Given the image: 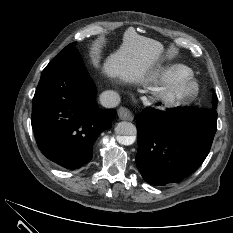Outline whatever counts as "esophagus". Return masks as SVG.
<instances>
[{
  "mask_svg": "<svg viewBox=\"0 0 233 233\" xmlns=\"http://www.w3.org/2000/svg\"><path fill=\"white\" fill-rule=\"evenodd\" d=\"M118 117L121 120H128V121H132L134 119L132 112L126 107H120L118 109Z\"/></svg>",
  "mask_w": 233,
  "mask_h": 233,
  "instance_id": "obj_1",
  "label": "esophagus"
}]
</instances>
